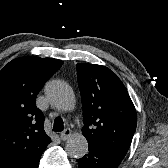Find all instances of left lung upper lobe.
<instances>
[{"label":"left lung upper lobe","instance_id":"left-lung-upper-lobe-1","mask_svg":"<svg viewBox=\"0 0 168 168\" xmlns=\"http://www.w3.org/2000/svg\"><path fill=\"white\" fill-rule=\"evenodd\" d=\"M84 127L89 144L124 158L132 141L137 115L121 80L109 68L78 63Z\"/></svg>","mask_w":168,"mask_h":168}]
</instances>
